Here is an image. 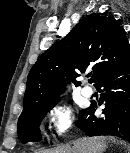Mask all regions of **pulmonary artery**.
I'll list each match as a JSON object with an SVG mask.
<instances>
[{
	"instance_id": "e3ab8cb5",
	"label": "pulmonary artery",
	"mask_w": 130,
	"mask_h": 153,
	"mask_svg": "<svg viewBox=\"0 0 130 153\" xmlns=\"http://www.w3.org/2000/svg\"><path fill=\"white\" fill-rule=\"evenodd\" d=\"M94 91L91 87H84L82 89V94L85 96V97H91L93 95Z\"/></svg>"
}]
</instances>
